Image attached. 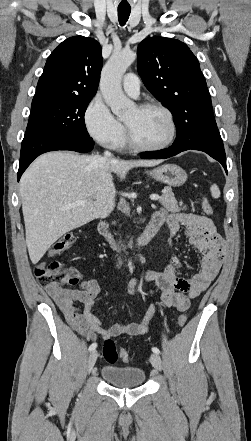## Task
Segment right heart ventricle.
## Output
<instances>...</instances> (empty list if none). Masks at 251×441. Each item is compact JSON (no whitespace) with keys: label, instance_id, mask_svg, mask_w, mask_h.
<instances>
[{"label":"right heart ventricle","instance_id":"1","mask_svg":"<svg viewBox=\"0 0 251 441\" xmlns=\"http://www.w3.org/2000/svg\"><path fill=\"white\" fill-rule=\"evenodd\" d=\"M124 146H126V140H125V138L123 136L121 141L119 142V144L116 147L122 148Z\"/></svg>","mask_w":251,"mask_h":441}]
</instances>
